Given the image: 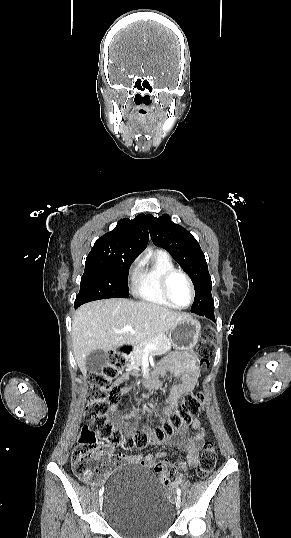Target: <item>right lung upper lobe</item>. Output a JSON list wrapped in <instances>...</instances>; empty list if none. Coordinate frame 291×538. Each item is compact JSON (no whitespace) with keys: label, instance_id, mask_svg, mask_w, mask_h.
Listing matches in <instances>:
<instances>
[{"label":"right lung upper lobe","instance_id":"cb5924a9","mask_svg":"<svg viewBox=\"0 0 291 538\" xmlns=\"http://www.w3.org/2000/svg\"><path fill=\"white\" fill-rule=\"evenodd\" d=\"M149 240L146 216L139 214L133 220L121 219L114 230L104 234L89 254L128 255L137 257Z\"/></svg>","mask_w":291,"mask_h":538}]
</instances>
